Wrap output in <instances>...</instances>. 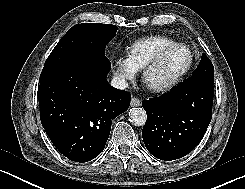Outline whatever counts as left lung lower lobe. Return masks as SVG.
<instances>
[{"label": "left lung lower lobe", "mask_w": 245, "mask_h": 189, "mask_svg": "<svg viewBox=\"0 0 245 189\" xmlns=\"http://www.w3.org/2000/svg\"><path fill=\"white\" fill-rule=\"evenodd\" d=\"M213 84L193 76L158 98L142 101L147 113L142 138L154 157L179 159L199 144L212 118Z\"/></svg>", "instance_id": "obj_1"}]
</instances>
